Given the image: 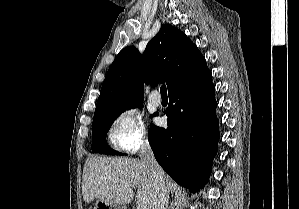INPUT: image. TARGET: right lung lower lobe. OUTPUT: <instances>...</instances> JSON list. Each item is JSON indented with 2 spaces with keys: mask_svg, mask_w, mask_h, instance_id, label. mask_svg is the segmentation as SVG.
Instances as JSON below:
<instances>
[{
  "mask_svg": "<svg viewBox=\"0 0 299 209\" xmlns=\"http://www.w3.org/2000/svg\"><path fill=\"white\" fill-rule=\"evenodd\" d=\"M211 72L169 91L168 128L151 125L148 139L157 162L192 192L209 180L219 140Z\"/></svg>",
  "mask_w": 299,
  "mask_h": 209,
  "instance_id": "obj_1",
  "label": "right lung lower lobe"
}]
</instances>
